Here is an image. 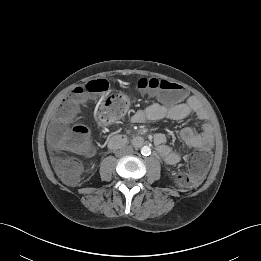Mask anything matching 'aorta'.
<instances>
[{
	"mask_svg": "<svg viewBox=\"0 0 261 261\" xmlns=\"http://www.w3.org/2000/svg\"><path fill=\"white\" fill-rule=\"evenodd\" d=\"M141 153H142V155H145V156L150 155V153H151L150 147L149 146H143L141 148Z\"/></svg>",
	"mask_w": 261,
	"mask_h": 261,
	"instance_id": "aorta-1",
	"label": "aorta"
}]
</instances>
